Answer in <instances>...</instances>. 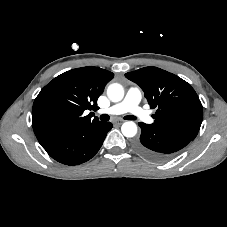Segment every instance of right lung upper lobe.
<instances>
[{"label":"right lung upper lobe","mask_w":227,"mask_h":227,"mask_svg":"<svg viewBox=\"0 0 227 227\" xmlns=\"http://www.w3.org/2000/svg\"><path fill=\"white\" fill-rule=\"evenodd\" d=\"M114 74L98 67L64 72L48 83L36 97L32 109L34 133L43 148L80 127L100 123L83 116L97 109V99Z\"/></svg>","instance_id":"right-lung-upper-lobe-1"}]
</instances>
